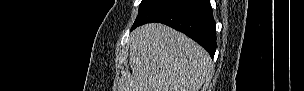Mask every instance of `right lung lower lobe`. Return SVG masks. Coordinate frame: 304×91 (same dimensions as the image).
<instances>
[{"label":"right lung lower lobe","instance_id":"1","mask_svg":"<svg viewBox=\"0 0 304 91\" xmlns=\"http://www.w3.org/2000/svg\"><path fill=\"white\" fill-rule=\"evenodd\" d=\"M150 22L183 32L214 57L216 27L209 0H153L137 16L131 30Z\"/></svg>","mask_w":304,"mask_h":91}]
</instances>
